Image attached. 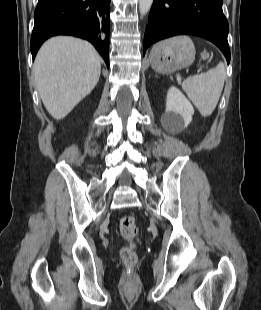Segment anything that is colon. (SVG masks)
<instances>
[{"instance_id": "colon-1", "label": "colon", "mask_w": 261, "mask_h": 310, "mask_svg": "<svg viewBox=\"0 0 261 310\" xmlns=\"http://www.w3.org/2000/svg\"><path fill=\"white\" fill-rule=\"evenodd\" d=\"M119 231L121 236L128 242L120 250V257L126 266H133L137 262L134 240L139 233L136 219L131 215L123 216L119 221Z\"/></svg>"}]
</instances>
